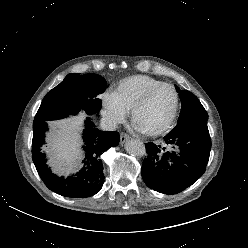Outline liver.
Listing matches in <instances>:
<instances>
[{"label":"liver","mask_w":248,"mask_h":248,"mask_svg":"<svg viewBox=\"0 0 248 248\" xmlns=\"http://www.w3.org/2000/svg\"><path fill=\"white\" fill-rule=\"evenodd\" d=\"M86 115L51 122L54 131L49 135L47 152L51 157L54 171L69 174L80 168L82 159L81 141L78 132Z\"/></svg>","instance_id":"obj_1"}]
</instances>
